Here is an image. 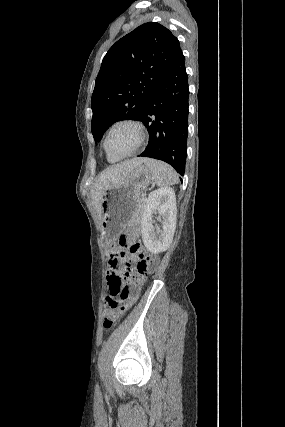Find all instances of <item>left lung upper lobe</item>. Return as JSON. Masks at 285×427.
<instances>
[{"label": "left lung upper lobe", "instance_id": "1", "mask_svg": "<svg viewBox=\"0 0 285 427\" xmlns=\"http://www.w3.org/2000/svg\"><path fill=\"white\" fill-rule=\"evenodd\" d=\"M181 52L178 39L156 22L137 27L109 49L91 98V131L96 142L113 123L140 119Z\"/></svg>", "mask_w": 285, "mask_h": 427}]
</instances>
